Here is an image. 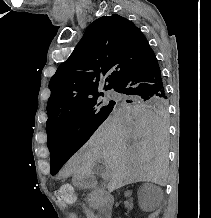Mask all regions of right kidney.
Returning <instances> with one entry per match:
<instances>
[{"label":"right kidney","mask_w":211,"mask_h":218,"mask_svg":"<svg viewBox=\"0 0 211 218\" xmlns=\"http://www.w3.org/2000/svg\"><path fill=\"white\" fill-rule=\"evenodd\" d=\"M132 192L131 190H127V192H125V196H131Z\"/></svg>","instance_id":"right-kidney-1"}]
</instances>
